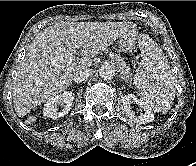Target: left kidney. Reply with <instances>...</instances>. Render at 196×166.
Here are the masks:
<instances>
[{"label": "left kidney", "mask_w": 196, "mask_h": 166, "mask_svg": "<svg viewBox=\"0 0 196 166\" xmlns=\"http://www.w3.org/2000/svg\"><path fill=\"white\" fill-rule=\"evenodd\" d=\"M133 102H136L138 105H140L145 112L141 113L139 116H136L135 113L130 110V104H132ZM122 104L124 107L123 109L124 112L126 113V115L129 117L131 121L138 124H145L154 121V115L152 113V109L145 100L143 99L139 100L135 95L128 94L122 98Z\"/></svg>", "instance_id": "obj_1"}]
</instances>
